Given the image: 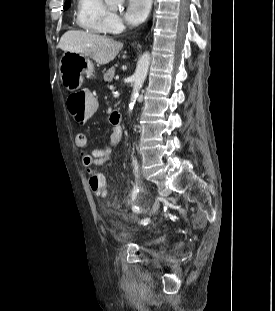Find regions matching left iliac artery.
<instances>
[{"instance_id": "obj_1", "label": "left iliac artery", "mask_w": 275, "mask_h": 311, "mask_svg": "<svg viewBox=\"0 0 275 311\" xmlns=\"http://www.w3.org/2000/svg\"><path fill=\"white\" fill-rule=\"evenodd\" d=\"M133 165H134V172H135V176H136V185L134 186V189L132 191L131 197H132V201H134V199L137 196V193L139 192V187H138V163L137 160L133 157ZM132 210L134 212H139V207L137 206H132ZM148 222V219L142 220L141 224H146Z\"/></svg>"}]
</instances>
